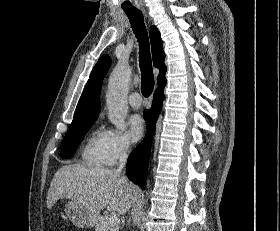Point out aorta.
Here are the masks:
<instances>
[{
    "label": "aorta",
    "mask_w": 280,
    "mask_h": 231,
    "mask_svg": "<svg viewBox=\"0 0 280 231\" xmlns=\"http://www.w3.org/2000/svg\"><path fill=\"white\" fill-rule=\"evenodd\" d=\"M132 72L130 66H115L108 82L106 92V104L108 108V119L119 129L125 131V121L128 112V88Z\"/></svg>",
    "instance_id": "obj_1"
}]
</instances>
